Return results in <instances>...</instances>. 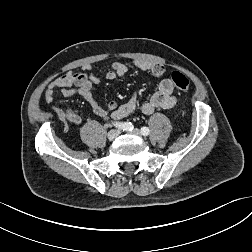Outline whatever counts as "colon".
I'll return each instance as SVG.
<instances>
[{"label": "colon", "instance_id": "obj_1", "mask_svg": "<svg viewBox=\"0 0 252 252\" xmlns=\"http://www.w3.org/2000/svg\"><path fill=\"white\" fill-rule=\"evenodd\" d=\"M169 78L178 89L187 90L189 88V80L184 74L175 71L169 75Z\"/></svg>", "mask_w": 252, "mask_h": 252}]
</instances>
